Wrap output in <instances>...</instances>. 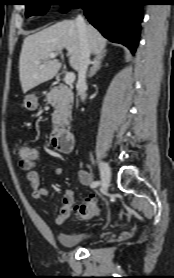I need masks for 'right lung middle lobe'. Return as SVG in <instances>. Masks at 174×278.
<instances>
[{"label": "right lung middle lobe", "instance_id": "obj_1", "mask_svg": "<svg viewBox=\"0 0 174 278\" xmlns=\"http://www.w3.org/2000/svg\"><path fill=\"white\" fill-rule=\"evenodd\" d=\"M52 2H60V3H52ZM78 0H26V17L32 15H42L45 14L52 4H58L65 7V12L70 10Z\"/></svg>", "mask_w": 174, "mask_h": 278}]
</instances>
